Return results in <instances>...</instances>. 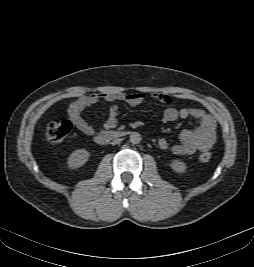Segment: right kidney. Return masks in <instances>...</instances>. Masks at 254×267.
I'll list each match as a JSON object with an SVG mask.
<instances>
[{"mask_svg":"<svg viewBox=\"0 0 254 267\" xmlns=\"http://www.w3.org/2000/svg\"><path fill=\"white\" fill-rule=\"evenodd\" d=\"M90 157V154L85 149H77L70 154L67 163L70 169H76L84 165Z\"/></svg>","mask_w":254,"mask_h":267,"instance_id":"ca27d5eb","label":"right kidney"}]
</instances>
